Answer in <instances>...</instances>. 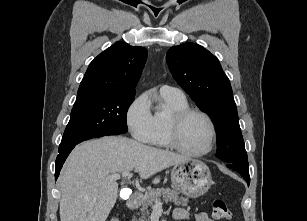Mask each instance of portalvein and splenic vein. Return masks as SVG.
<instances>
[{"mask_svg":"<svg viewBox=\"0 0 307 221\" xmlns=\"http://www.w3.org/2000/svg\"><path fill=\"white\" fill-rule=\"evenodd\" d=\"M128 175H130V171L126 170V171L122 172V175H120V174H113V175L110 176V178L113 179V180H118V179H120L121 176L122 177H127ZM155 207L156 208H161L162 207V203L160 201H156L155 202Z\"/></svg>","mask_w":307,"mask_h":221,"instance_id":"18ae733b","label":"portal vein and splenic vein"}]
</instances>
